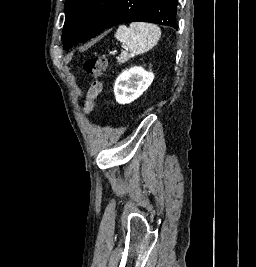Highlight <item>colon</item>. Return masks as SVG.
Listing matches in <instances>:
<instances>
[{
    "label": "colon",
    "instance_id": "1",
    "mask_svg": "<svg viewBox=\"0 0 256 267\" xmlns=\"http://www.w3.org/2000/svg\"><path fill=\"white\" fill-rule=\"evenodd\" d=\"M107 67L108 61L103 56L90 57L84 61V71L93 77V81L90 84L89 96L82 103L81 108L83 110L91 111L95 100L101 95L103 90L101 77L106 72Z\"/></svg>",
    "mask_w": 256,
    "mask_h": 267
}]
</instances>
